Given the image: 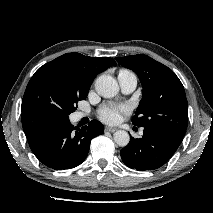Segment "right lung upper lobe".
<instances>
[{
    "instance_id": "obj_1",
    "label": "right lung upper lobe",
    "mask_w": 213,
    "mask_h": 213,
    "mask_svg": "<svg viewBox=\"0 0 213 213\" xmlns=\"http://www.w3.org/2000/svg\"><path fill=\"white\" fill-rule=\"evenodd\" d=\"M115 65L116 62L110 57L97 58L67 53L46 63L37 71L50 72L90 88L99 73Z\"/></svg>"
}]
</instances>
